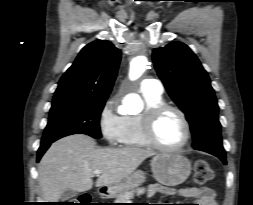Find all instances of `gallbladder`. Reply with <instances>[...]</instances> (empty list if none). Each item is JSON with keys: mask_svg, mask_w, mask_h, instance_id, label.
<instances>
[{"mask_svg": "<svg viewBox=\"0 0 253 205\" xmlns=\"http://www.w3.org/2000/svg\"><path fill=\"white\" fill-rule=\"evenodd\" d=\"M77 195H78V192H76L72 189H67L62 193L60 198L62 201H65V200L71 199Z\"/></svg>", "mask_w": 253, "mask_h": 205, "instance_id": "1", "label": "gallbladder"}]
</instances>
